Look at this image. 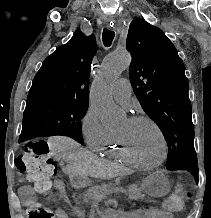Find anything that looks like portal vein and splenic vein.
<instances>
[{"label": "portal vein and splenic vein", "mask_w": 211, "mask_h": 218, "mask_svg": "<svg viewBox=\"0 0 211 218\" xmlns=\"http://www.w3.org/2000/svg\"><path fill=\"white\" fill-rule=\"evenodd\" d=\"M123 190L126 192V191H129V188H126V187L124 188L123 186L119 188V191H123Z\"/></svg>", "instance_id": "obj_1"}]
</instances>
